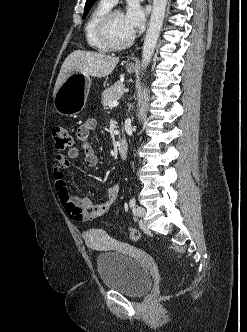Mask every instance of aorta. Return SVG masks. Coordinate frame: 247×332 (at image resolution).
Returning <instances> with one entry per match:
<instances>
[{
  "instance_id": "762f6f07",
  "label": "aorta",
  "mask_w": 247,
  "mask_h": 332,
  "mask_svg": "<svg viewBox=\"0 0 247 332\" xmlns=\"http://www.w3.org/2000/svg\"><path fill=\"white\" fill-rule=\"evenodd\" d=\"M167 0H153V8L149 28L146 32L143 51L142 66L147 67L154 53L159 34L163 25Z\"/></svg>"
}]
</instances>
